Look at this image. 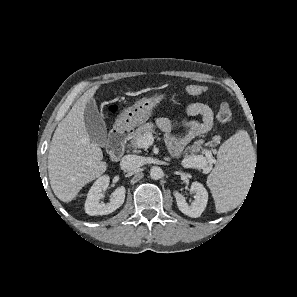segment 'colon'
<instances>
[{"label": "colon", "mask_w": 297, "mask_h": 297, "mask_svg": "<svg viewBox=\"0 0 297 297\" xmlns=\"http://www.w3.org/2000/svg\"><path fill=\"white\" fill-rule=\"evenodd\" d=\"M186 93L192 96L200 95L204 92H206V89L200 85H188L186 87ZM107 109L111 112H115L117 110V106L115 104H108ZM232 117V110L228 103L222 102L218 105L216 112H215V119L219 123H227L230 121Z\"/></svg>", "instance_id": "5ec220e1"}]
</instances>
